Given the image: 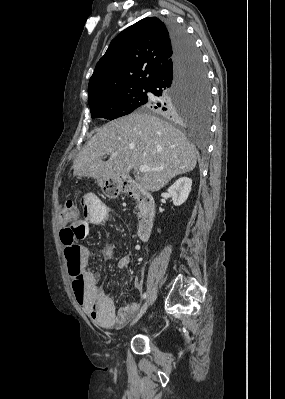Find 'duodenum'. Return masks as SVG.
<instances>
[{"mask_svg":"<svg viewBox=\"0 0 285 399\" xmlns=\"http://www.w3.org/2000/svg\"><path fill=\"white\" fill-rule=\"evenodd\" d=\"M125 189L140 205L138 238L140 241H147L156 221L154 199L138 184H128Z\"/></svg>","mask_w":285,"mask_h":399,"instance_id":"obj_1","label":"duodenum"}]
</instances>
